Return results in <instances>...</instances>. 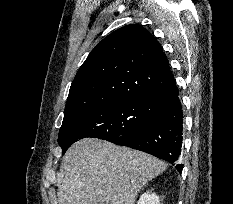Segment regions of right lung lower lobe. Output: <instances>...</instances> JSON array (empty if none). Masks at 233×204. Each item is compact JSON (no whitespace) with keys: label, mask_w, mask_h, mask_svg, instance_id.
Returning a JSON list of instances; mask_svg holds the SVG:
<instances>
[{"label":"right lung lower lobe","mask_w":233,"mask_h":204,"mask_svg":"<svg viewBox=\"0 0 233 204\" xmlns=\"http://www.w3.org/2000/svg\"><path fill=\"white\" fill-rule=\"evenodd\" d=\"M175 81L152 95L151 105L158 119L146 128L121 135L113 143L137 149L174 164L182 147L183 112ZM182 164L176 169L181 173Z\"/></svg>","instance_id":"98d812e1"}]
</instances>
